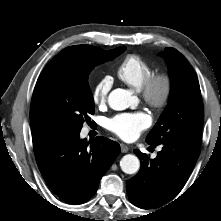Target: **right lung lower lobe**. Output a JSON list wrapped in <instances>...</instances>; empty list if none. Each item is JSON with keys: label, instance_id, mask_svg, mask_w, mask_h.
I'll return each instance as SVG.
<instances>
[{"label": "right lung lower lobe", "instance_id": "obj_1", "mask_svg": "<svg viewBox=\"0 0 221 221\" xmlns=\"http://www.w3.org/2000/svg\"><path fill=\"white\" fill-rule=\"evenodd\" d=\"M80 131L47 130L32 134L36 161L51 189L64 201L81 204L97 191L120 145L102 136L80 139Z\"/></svg>", "mask_w": 221, "mask_h": 221}]
</instances>
